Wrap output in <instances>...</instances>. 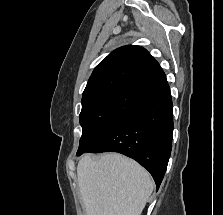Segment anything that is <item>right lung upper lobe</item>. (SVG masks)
Returning <instances> with one entry per match:
<instances>
[{
    "mask_svg": "<svg viewBox=\"0 0 223 215\" xmlns=\"http://www.w3.org/2000/svg\"><path fill=\"white\" fill-rule=\"evenodd\" d=\"M167 84L163 70L146 49L123 46L96 66L83 92L82 102L115 90L145 96Z\"/></svg>",
    "mask_w": 223,
    "mask_h": 215,
    "instance_id": "obj_1",
    "label": "right lung upper lobe"
}]
</instances>
